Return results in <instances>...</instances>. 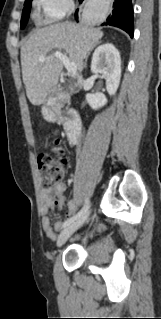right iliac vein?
Returning a JSON list of instances; mask_svg holds the SVG:
<instances>
[{
    "instance_id": "63e3f726",
    "label": "right iliac vein",
    "mask_w": 161,
    "mask_h": 319,
    "mask_svg": "<svg viewBox=\"0 0 161 319\" xmlns=\"http://www.w3.org/2000/svg\"><path fill=\"white\" fill-rule=\"evenodd\" d=\"M89 215V212H86L82 217L73 223L69 224L58 236L57 247H61L68 238L85 222Z\"/></svg>"
}]
</instances>
